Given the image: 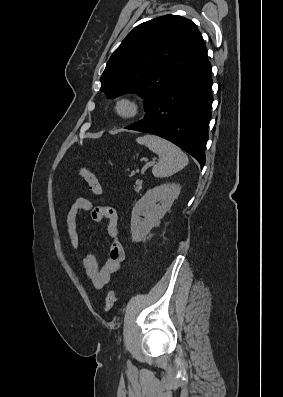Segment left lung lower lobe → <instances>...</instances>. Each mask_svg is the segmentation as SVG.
Wrapping results in <instances>:
<instances>
[{
	"mask_svg": "<svg viewBox=\"0 0 283 397\" xmlns=\"http://www.w3.org/2000/svg\"><path fill=\"white\" fill-rule=\"evenodd\" d=\"M213 81L208 59L167 90L127 129L167 139L192 155L201 168L211 120Z\"/></svg>",
	"mask_w": 283,
	"mask_h": 397,
	"instance_id": "obj_1",
	"label": "left lung lower lobe"
}]
</instances>
